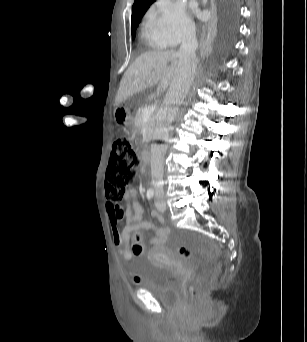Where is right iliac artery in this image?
Instances as JSON below:
<instances>
[{
	"instance_id": "right-iliac-artery-1",
	"label": "right iliac artery",
	"mask_w": 307,
	"mask_h": 342,
	"mask_svg": "<svg viewBox=\"0 0 307 342\" xmlns=\"http://www.w3.org/2000/svg\"><path fill=\"white\" fill-rule=\"evenodd\" d=\"M154 196V190L153 189H148L147 190V198L151 200Z\"/></svg>"
}]
</instances>
